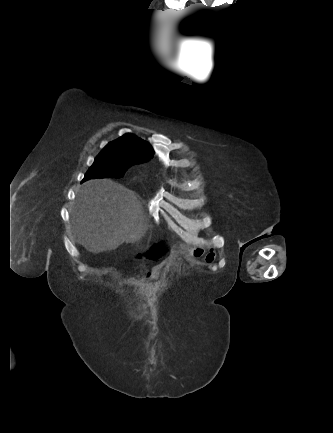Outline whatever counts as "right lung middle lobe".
Segmentation results:
<instances>
[{
	"instance_id": "right-lung-middle-lobe-1",
	"label": "right lung middle lobe",
	"mask_w": 333,
	"mask_h": 433,
	"mask_svg": "<svg viewBox=\"0 0 333 433\" xmlns=\"http://www.w3.org/2000/svg\"><path fill=\"white\" fill-rule=\"evenodd\" d=\"M137 163H139V160L135 157L119 156L101 151L85 174L83 181L91 178H120L130 166Z\"/></svg>"
}]
</instances>
